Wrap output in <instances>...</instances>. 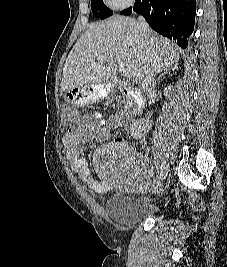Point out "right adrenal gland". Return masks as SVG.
<instances>
[{"instance_id":"right-adrenal-gland-1","label":"right adrenal gland","mask_w":227,"mask_h":267,"mask_svg":"<svg viewBox=\"0 0 227 267\" xmlns=\"http://www.w3.org/2000/svg\"><path fill=\"white\" fill-rule=\"evenodd\" d=\"M175 68H170L169 70L166 71H161L159 77L157 78V84H159V81L162 80V77L168 73H170L171 70H174Z\"/></svg>"}]
</instances>
